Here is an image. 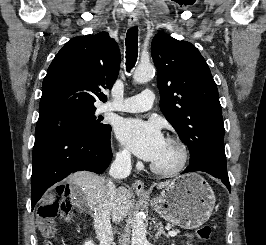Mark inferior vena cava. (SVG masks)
<instances>
[{
	"label": "inferior vena cava",
	"instance_id": "inferior-vena-cava-1",
	"mask_svg": "<svg viewBox=\"0 0 266 245\" xmlns=\"http://www.w3.org/2000/svg\"><path fill=\"white\" fill-rule=\"evenodd\" d=\"M131 153L122 151L117 153L113 161L109 175L112 177L104 189H100L92 203L94 229L100 245H113V231L110 221V213L113 207V199L116 197V185L113 179H126L131 173Z\"/></svg>",
	"mask_w": 266,
	"mask_h": 245
}]
</instances>
